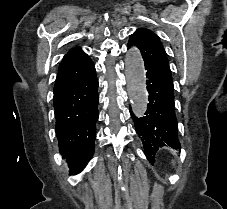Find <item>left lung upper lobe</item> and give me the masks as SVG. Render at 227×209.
Masks as SVG:
<instances>
[{
  "mask_svg": "<svg viewBox=\"0 0 227 209\" xmlns=\"http://www.w3.org/2000/svg\"><path fill=\"white\" fill-rule=\"evenodd\" d=\"M136 46L140 50L146 66L154 67L167 78L172 80L166 52L159 37L146 28H139L128 42V47Z\"/></svg>",
  "mask_w": 227,
  "mask_h": 209,
  "instance_id": "left-lung-upper-lobe-1",
  "label": "left lung upper lobe"
}]
</instances>
